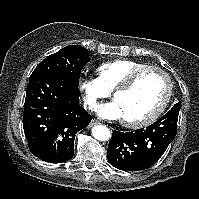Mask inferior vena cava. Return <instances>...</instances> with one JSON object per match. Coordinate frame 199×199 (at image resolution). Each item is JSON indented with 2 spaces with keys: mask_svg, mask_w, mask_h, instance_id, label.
<instances>
[{
  "mask_svg": "<svg viewBox=\"0 0 199 199\" xmlns=\"http://www.w3.org/2000/svg\"><path fill=\"white\" fill-rule=\"evenodd\" d=\"M94 104H95V102L92 101V100H85V101H84V107H85V108H86L87 105L93 106Z\"/></svg>",
  "mask_w": 199,
  "mask_h": 199,
  "instance_id": "1",
  "label": "inferior vena cava"
}]
</instances>
